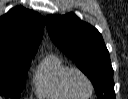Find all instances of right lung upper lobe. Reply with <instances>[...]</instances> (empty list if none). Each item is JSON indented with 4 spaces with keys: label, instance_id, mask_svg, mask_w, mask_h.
Masks as SVG:
<instances>
[{
    "label": "right lung upper lobe",
    "instance_id": "right-lung-upper-lobe-1",
    "mask_svg": "<svg viewBox=\"0 0 128 99\" xmlns=\"http://www.w3.org/2000/svg\"><path fill=\"white\" fill-rule=\"evenodd\" d=\"M43 17L22 6L0 17V54L35 55L42 40Z\"/></svg>",
    "mask_w": 128,
    "mask_h": 99
}]
</instances>
